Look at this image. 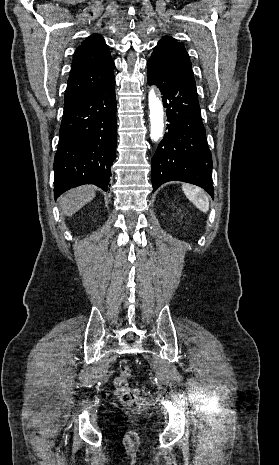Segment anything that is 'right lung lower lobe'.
<instances>
[{
    "instance_id": "98d812e1",
    "label": "right lung lower lobe",
    "mask_w": 279,
    "mask_h": 465,
    "mask_svg": "<svg viewBox=\"0 0 279 465\" xmlns=\"http://www.w3.org/2000/svg\"><path fill=\"white\" fill-rule=\"evenodd\" d=\"M116 98L112 75L88 97L64 109L54 159V196L83 184L108 190L116 150Z\"/></svg>"
}]
</instances>
